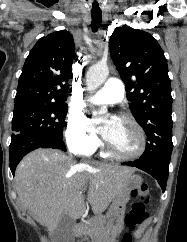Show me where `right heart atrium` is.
Listing matches in <instances>:
<instances>
[{
  "label": "right heart atrium",
  "mask_w": 187,
  "mask_h": 242,
  "mask_svg": "<svg viewBox=\"0 0 187 242\" xmlns=\"http://www.w3.org/2000/svg\"><path fill=\"white\" fill-rule=\"evenodd\" d=\"M68 148L79 155H91L99 147L100 141L88 118L80 112L69 115L66 126Z\"/></svg>",
  "instance_id": "right-heart-atrium-1"
}]
</instances>
